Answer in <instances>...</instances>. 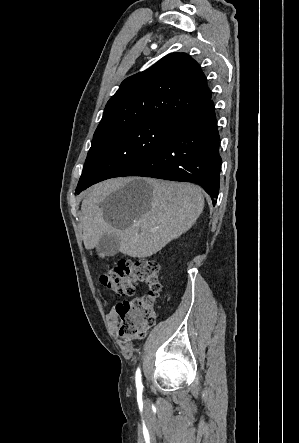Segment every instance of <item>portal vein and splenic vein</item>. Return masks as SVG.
Segmentation results:
<instances>
[{
    "instance_id": "1",
    "label": "portal vein and splenic vein",
    "mask_w": 299,
    "mask_h": 443,
    "mask_svg": "<svg viewBox=\"0 0 299 443\" xmlns=\"http://www.w3.org/2000/svg\"><path fill=\"white\" fill-rule=\"evenodd\" d=\"M138 225V223L137 222H134V226H137Z\"/></svg>"
}]
</instances>
